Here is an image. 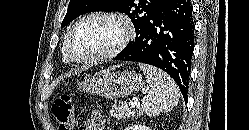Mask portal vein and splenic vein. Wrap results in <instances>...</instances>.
I'll list each match as a JSON object with an SVG mask.
<instances>
[{
	"label": "portal vein and splenic vein",
	"mask_w": 249,
	"mask_h": 130,
	"mask_svg": "<svg viewBox=\"0 0 249 130\" xmlns=\"http://www.w3.org/2000/svg\"><path fill=\"white\" fill-rule=\"evenodd\" d=\"M129 105H130L131 108H134L136 106V102L131 101V102H129Z\"/></svg>",
	"instance_id": "1"
}]
</instances>
